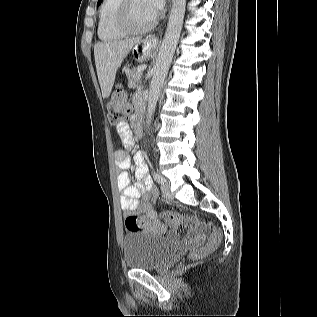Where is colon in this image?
Here are the masks:
<instances>
[{"mask_svg": "<svg viewBox=\"0 0 317 317\" xmlns=\"http://www.w3.org/2000/svg\"><path fill=\"white\" fill-rule=\"evenodd\" d=\"M108 120L114 125L125 122L131 112V107L127 98V93L122 87H117L107 104ZM165 220L171 226L178 225H197V222L186 216H182L173 212L165 214ZM125 226L129 231L136 232L142 230H152L155 232H162L164 225L159 222H151L146 218H142L136 215H127L124 220ZM221 240L220 232L217 229H212L206 239L199 243L190 254L192 260H198L205 256L208 252L215 249Z\"/></svg>", "mask_w": 317, "mask_h": 317, "instance_id": "colon-1", "label": "colon"}]
</instances>
